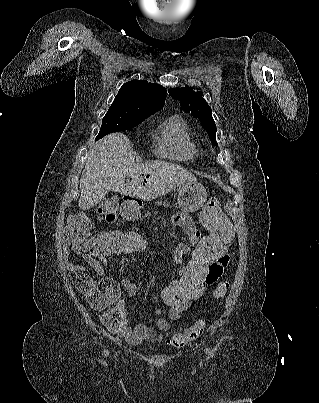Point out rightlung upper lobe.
Listing matches in <instances>:
<instances>
[{
  "instance_id": "cb5924a9",
  "label": "right lung upper lobe",
  "mask_w": 319,
  "mask_h": 403,
  "mask_svg": "<svg viewBox=\"0 0 319 403\" xmlns=\"http://www.w3.org/2000/svg\"><path fill=\"white\" fill-rule=\"evenodd\" d=\"M165 99L166 89L163 86L144 80H132L123 84L110 108L148 117L163 108Z\"/></svg>"
}]
</instances>
